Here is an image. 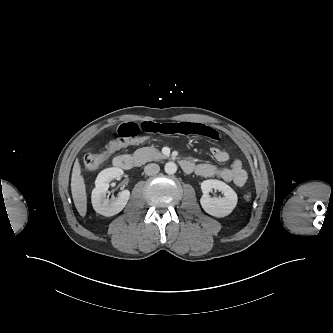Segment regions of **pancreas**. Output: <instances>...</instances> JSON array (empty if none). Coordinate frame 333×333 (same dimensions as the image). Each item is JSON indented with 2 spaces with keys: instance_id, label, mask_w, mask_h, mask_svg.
I'll use <instances>...</instances> for the list:
<instances>
[{
  "instance_id": "obj_1",
  "label": "pancreas",
  "mask_w": 333,
  "mask_h": 333,
  "mask_svg": "<svg viewBox=\"0 0 333 333\" xmlns=\"http://www.w3.org/2000/svg\"><path fill=\"white\" fill-rule=\"evenodd\" d=\"M134 157L138 162L143 164L148 161L159 160L164 156L158 149L151 146V147H143L136 150L134 153Z\"/></svg>"
}]
</instances>
